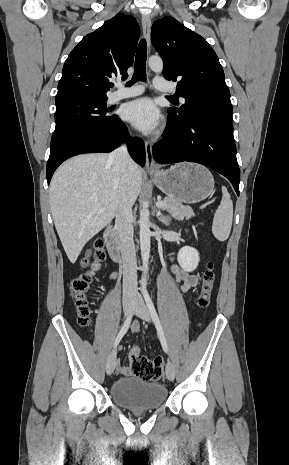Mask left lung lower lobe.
<instances>
[{"label": "left lung lower lobe", "instance_id": "left-lung-lower-lobe-1", "mask_svg": "<svg viewBox=\"0 0 289 465\" xmlns=\"http://www.w3.org/2000/svg\"><path fill=\"white\" fill-rule=\"evenodd\" d=\"M168 117L165 138L153 146L155 160L160 164L189 161L206 165L225 176L239 195L240 170L232 123L204 117L185 121Z\"/></svg>", "mask_w": 289, "mask_h": 465}]
</instances>
